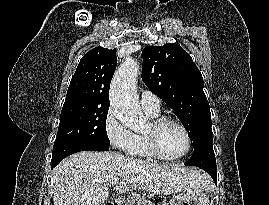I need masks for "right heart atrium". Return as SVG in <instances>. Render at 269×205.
<instances>
[{"label": "right heart atrium", "instance_id": "right-heart-atrium-1", "mask_svg": "<svg viewBox=\"0 0 269 205\" xmlns=\"http://www.w3.org/2000/svg\"><path fill=\"white\" fill-rule=\"evenodd\" d=\"M103 128L112 147L123 151L129 148L132 143L133 133L120 123L112 107L105 114Z\"/></svg>", "mask_w": 269, "mask_h": 205}]
</instances>
